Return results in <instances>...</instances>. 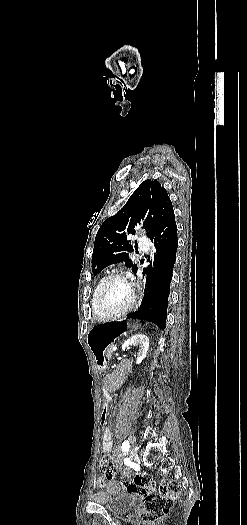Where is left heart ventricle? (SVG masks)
I'll return each mask as SVG.
<instances>
[{
    "label": "left heart ventricle",
    "mask_w": 247,
    "mask_h": 525,
    "mask_svg": "<svg viewBox=\"0 0 247 525\" xmlns=\"http://www.w3.org/2000/svg\"><path fill=\"white\" fill-rule=\"evenodd\" d=\"M133 283L127 278H112L99 293V304L103 307H113L124 304L130 297Z\"/></svg>",
    "instance_id": "1"
}]
</instances>
